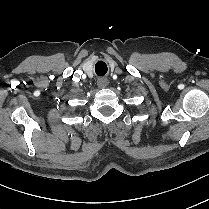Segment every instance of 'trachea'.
Instances as JSON below:
<instances>
[{"mask_svg":"<svg viewBox=\"0 0 209 209\" xmlns=\"http://www.w3.org/2000/svg\"><path fill=\"white\" fill-rule=\"evenodd\" d=\"M95 72L98 76H104L107 72V66L103 61H99L95 65Z\"/></svg>","mask_w":209,"mask_h":209,"instance_id":"obj_1","label":"trachea"}]
</instances>
